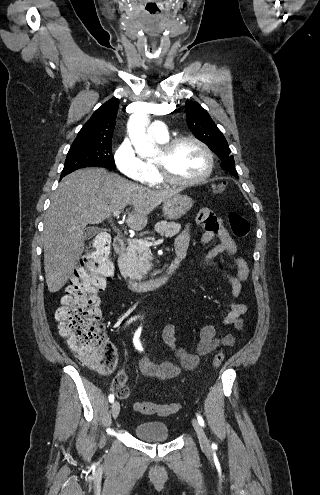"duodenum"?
<instances>
[{"label": "duodenum", "instance_id": "410a0bca", "mask_svg": "<svg viewBox=\"0 0 320 495\" xmlns=\"http://www.w3.org/2000/svg\"><path fill=\"white\" fill-rule=\"evenodd\" d=\"M114 251L118 257L122 260L126 253L125 242L121 237H116L113 242ZM177 258L168 266L167 271L164 275L156 277L154 279L146 281H135L125 276V282L127 286L137 292H146L158 289L165 285L170 277L174 274L179 263L185 257V253H179L176 251Z\"/></svg>", "mask_w": 320, "mask_h": 495}]
</instances>
